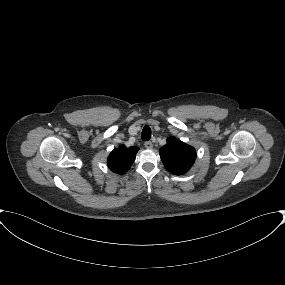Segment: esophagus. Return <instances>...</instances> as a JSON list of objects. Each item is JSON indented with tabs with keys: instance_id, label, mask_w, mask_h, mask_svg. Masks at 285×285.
<instances>
[{
	"instance_id": "esophagus-1",
	"label": "esophagus",
	"mask_w": 285,
	"mask_h": 285,
	"mask_svg": "<svg viewBox=\"0 0 285 285\" xmlns=\"http://www.w3.org/2000/svg\"><path fill=\"white\" fill-rule=\"evenodd\" d=\"M144 146H145V148H147V149H152V148H153V144H152V142H150V141H146V142L144 143Z\"/></svg>"
}]
</instances>
